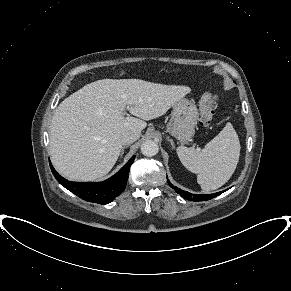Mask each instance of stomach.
Instances as JSON below:
<instances>
[{
	"instance_id": "1",
	"label": "stomach",
	"mask_w": 291,
	"mask_h": 291,
	"mask_svg": "<svg viewBox=\"0 0 291 291\" xmlns=\"http://www.w3.org/2000/svg\"><path fill=\"white\" fill-rule=\"evenodd\" d=\"M198 117L195 103L182 98L173 105L171 119L166 130L180 142H185L194 135Z\"/></svg>"
}]
</instances>
